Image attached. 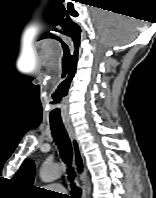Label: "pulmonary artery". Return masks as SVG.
<instances>
[{
  "mask_svg": "<svg viewBox=\"0 0 156 198\" xmlns=\"http://www.w3.org/2000/svg\"><path fill=\"white\" fill-rule=\"evenodd\" d=\"M50 189L55 190V191H59V192L65 191V188L61 185H51Z\"/></svg>",
  "mask_w": 156,
  "mask_h": 198,
  "instance_id": "e3ab8cb5",
  "label": "pulmonary artery"
}]
</instances>
